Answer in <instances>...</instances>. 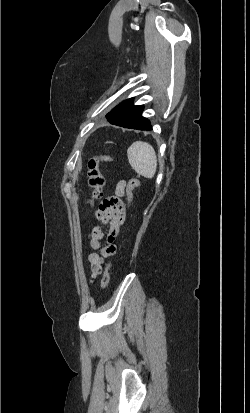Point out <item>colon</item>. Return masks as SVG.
Segmentation results:
<instances>
[{
  "instance_id": "1",
  "label": "colon",
  "mask_w": 250,
  "mask_h": 413,
  "mask_svg": "<svg viewBox=\"0 0 250 413\" xmlns=\"http://www.w3.org/2000/svg\"><path fill=\"white\" fill-rule=\"evenodd\" d=\"M112 158L108 155H98L92 157L88 162V181L89 185L92 188V197L97 198L102 194V188L104 185V178L100 172L99 164L101 162H109ZM141 182L137 178H132L129 180L127 184V201L128 204L131 203L133 192L135 189L140 187ZM112 267V263L108 262L105 265L104 272L102 274L101 279V289H105L109 284L110 280V269Z\"/></svg>"
}]
</instances>
